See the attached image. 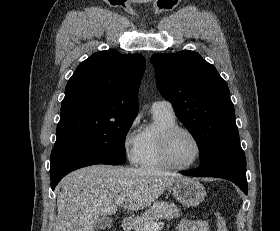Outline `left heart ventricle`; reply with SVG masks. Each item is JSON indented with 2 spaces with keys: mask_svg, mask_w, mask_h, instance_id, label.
Listing matches in <instances>:
<instances>
[{
  "mask_svg": "<svg viewBox=\"0 0 280 231\" xmlns=\"http://www.w3.org/2000/svg\"><path fill=\"white\" fill-rule=\"evenodd\" d=\"M198 147L195 140L186 133H178L172 140L170 154L173 161L180 166L190 165L197 158Z\"/></svg>",
  "mask_w": 280,
  "mask_h": 231,
  "instance_id": "obj_1",
  "label": "left heart ventricle"
}]
</instances>
